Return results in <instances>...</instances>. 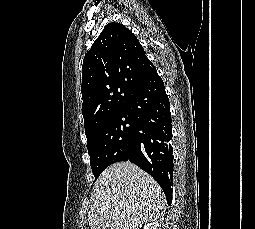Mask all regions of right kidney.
Here are the masks:
<instances>
[{"instance_id": "1", "label": "right kidney", "mask_w": 255, "mask_h": 229, "mask_svg": "<svg viewBox=\"0 0 255 229\" xmlns=\"http://www.w3.org/2000/svg\"><path fill=\"white\" fill-rule=\"evenodd\" d=\"M157 226H158L157 222H152L145 225L144 229H157Z\"/></svg>"}]
</instances>
